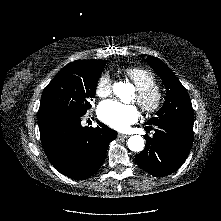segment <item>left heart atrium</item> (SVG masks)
Masks as SVG:
<instances>
[{"instance_id": "left-heart-atrium-1", "label": "left heart atrium", "mask_w": 221, "mask_h": 221, "mask_svg": "<svg viewBox=\"0 0 221 221\" xmlns=\"http://www.w3.org/2000/svg\"><path fill=\"white\" fill-rule=\"evenodd\" d=\"M99 118L116 130H126L131 123L138 119V111L133 105L116 101H103L98 107Z\"/></svg>"}]
</instances>
